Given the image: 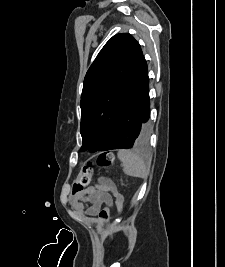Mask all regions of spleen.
<instances>
[{
	"label": "spleen",
	"mask_w": 225,
	"mask_h": 267,
	"mask_svg": "<svg viewBox=\"0 0 225 267\" xmlns=\"http://www.w3.org/2000/svg\"><path fill=\"white\" fill-rule=\"evenodd\" d=\"M118 158L123 163V171L126 175L146 179L149 170L141 157L130 150H119Z\"/></svg>",
	"instance_id": "1"
}]
</instances>
